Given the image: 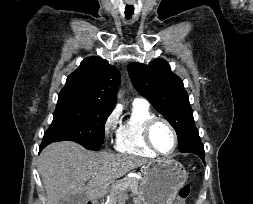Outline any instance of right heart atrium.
Masks as SVG:
<instances>
[{"mask_svg":"<svg viewBox=\"0 0 253 204\" xmlns=\"http://www.w3.org/2000/svg\"><path fill=\"white\" fill-rule=\"evenodd\" d=\"M119 125V112L114 109L107 115L103 124L104 135L108 140L117 137Z\"/></svg>","mask_w":253,"mask_h":204,"instance_id":"1","label":"right heart atrium"}]
</instances>
